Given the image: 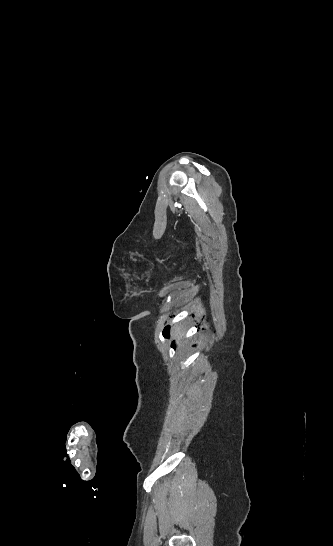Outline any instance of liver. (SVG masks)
Here are the masks:
<instances>
[{"label":"liver","mask_w":333,"mask_h":546,"mask_svg":"<svg viewBox=\"0 0 333 546\" xmlns=\"http://www.w3.org/2000/svg\"><path fill=\"white\" fill-rule=\"evenodd\" d=\"M182 336H183V332L180 331V329L177 327V328H176V338H177L178 340H180Z\"/></svg>","instance_id":"liver-1"}]
</instances>
